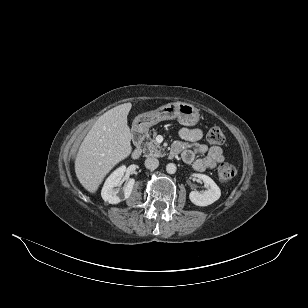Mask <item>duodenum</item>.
<instances>
[{
    "label": "duodenum",
    "mask_w": 308,
    "mask_h": 308,
    "mask_svg": "<svg viewBox=\"0 0 308 308\" xmlns=\"http://www.w3.org/2000/svg\"><path fill=\"white\" fill-rule=\"evenodd\" d=\"M146 127L144 125H137L133 131V141L135 143V148L131 153L133 159H138L142 154L141 142L145 136ZM176 148L173 144L170 150V154L173 156L176 154Z\"/></svg>",
    "instance_id": "410a0bca"
}]
</instances>
